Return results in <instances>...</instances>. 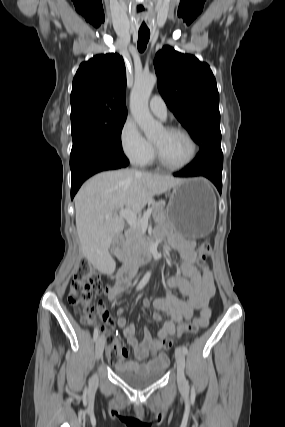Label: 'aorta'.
<instances>
[{
    "instance_id": "762f6f07",
    "label": "aorta",
    "mask_w": 285,
    "mask_h": 427,
    "mask_svg": "<svg viewBox=\"0 0 285 427\" xmlns=\"http://www.w3.org/2000/svg\"><path fill=\"white\" fill-rule=\"evenodd\" d=\"M156 82L155 74L137 76L130 95L131 114L148 139L162 130V125L152 117L148 107Z\"/></svg>"
}]
</instances>
